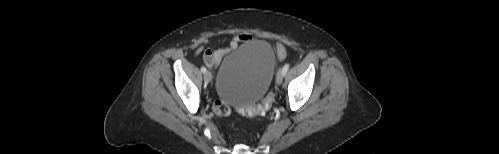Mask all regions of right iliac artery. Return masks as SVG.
Here are the masks:
<instances>
[{
    "label": "right iliac artery",
    "mask_w": 499,
    "mask_h": 154,
    "mask_svg": "<svg viewBox=\"0 0 499 154\" xmlns=\"http://www.w3.org/2000/svg\"><path fill=\"white\" fill-rule=\"evenodd\" d=\"M201 71L204 73L206 71L205 67H201Z\"/></svg>",
    "instance_id": "82829eb1"
}]
</instances>
